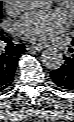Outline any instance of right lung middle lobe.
<instances>
[{"label":"right lung middle lobe","instance_id":"right-lung-middle-lobe-1","mask_svg":"<svg viewBox=\"0 0 74 122\" xmlns=\"http://www.w3.org/2000/svg\"><path fill=\"white\" fill-rule=\"evenodd\" d=\"M1 7H2V1H0V16H1ZM2 39L1 37V31H0V40Z\"/></svg>","mask_w":74,"mask_h":122}]
</instances>
